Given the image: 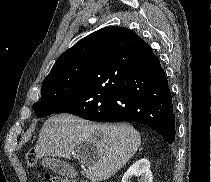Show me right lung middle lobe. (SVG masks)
<instances>
[{
  "label": "right lung middle lobe",
  "instance_id": "dd1d6c3e",
  "mask_svg": "<svg viewBox=\"0 0 211 182\" xmlns=\"http://www.w3.org/2000/svg\"><path fill=\"white\" fill-rule=\"evenodd\" d=\"M90 62L59 70L44 79L41 87V99L33 105L38 118L49 116L69 100L81 87Z\"/></svg>",
  "mask_w": 211,
  "mask_h": 182
}]
</instances>
